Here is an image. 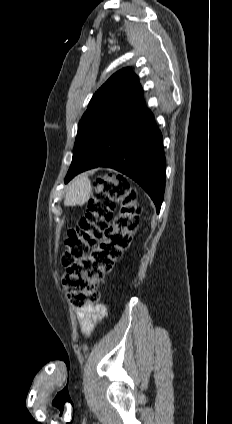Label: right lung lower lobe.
Wrapping results in <instances>:
<instances>
[{"mask_svg":"<svg viewBox=\"0 0 232 424\" xmlns=\"http://www.w3.org/2000/svg\"><path fill=\"white\" fill-rule=\"evenodd\" d=\"M96 167L113 168L136 181L159 213L165 189V155L162 134L145 103L133 108L131 121L112 131L80 172Z\"/></svg>","mask_w":232,"mask_h":424,"instance_id":"98d812e1","label":"right lung lower lobe"}]
</instances>
